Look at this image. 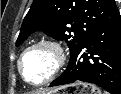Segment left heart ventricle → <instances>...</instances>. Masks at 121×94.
Here are the masks:
<instances>
[{"mask_svg":"<svg viewBox=\"0 0 121 94\" xmlns=\"http://www.w3.org/2000/svg\"><path fill=\"white\" fill-rule=\"evenodd\" d=\"M53 66V56L45 48L28 53L22 61L24 76L31 82L43 80Z\"/></svg>","mask_w":121,"mask_h":94,"instance_id":"1","label":"left heart ventricle"}]
</instances>
